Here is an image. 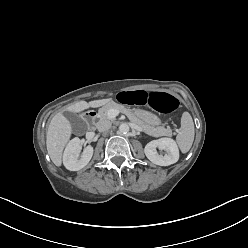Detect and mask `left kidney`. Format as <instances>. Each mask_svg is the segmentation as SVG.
Here are the masks:
<instances>
[{"label":"left kidney","instance_id":"left-kidney-1","mask_svg":"<svg viewBox=\"0 0 248 248\" xmlns=\"http://www.w3.org/2000/svg\"><path fill=\"white\" fill-rule=\"evenodd\" d=\"M159 150L166 151L165 155L159 154ZM146 157L154 164L168 166L174 164L179 159V150L176 142L171 138H160L147 143L144 148Z\"/></svg>","mask_w":248,"mask_h":248}]
</instances>
